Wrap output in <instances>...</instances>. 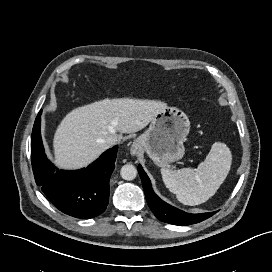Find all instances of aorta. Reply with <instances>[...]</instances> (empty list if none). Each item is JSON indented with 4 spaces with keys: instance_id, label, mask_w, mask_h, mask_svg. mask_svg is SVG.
Instances as JSON below:
<instances>
[{
    "instance_id": "aorta-1",
    "label": "aorta",
    "mask_w": 272,
    "mask_h": 272,
    "mask_svg": "<svg viewBox=\"0 0 272 272\" xmlns=\"http://www.w3.org/2000/svg\"><path fill=\"white\" fill-rule=\"evenodd\" d=\"M120 175L124 180H133L137 176V169L132 164H126L121 168Z\"/></svg>"
}]
</instances>
